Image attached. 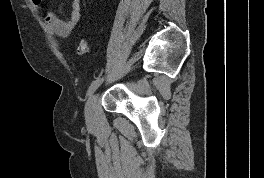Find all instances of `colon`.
I'll use <instances>...</instances> for the list:
<instances>
[{"mask_svg":"<svg viewBox=\"0 0 264 178\" xmlns=\"http://www.w3.org/2000/svg\"><path fill=\"white\" fill-rule=\"evenodd\" d=\"M35 4H41L42 0H33ZM89 50L88 42L85 39H81L77 45V53L80 56L87 54Z\"/></svg>","mask_w":264,"mask_h":178,"instance_id":"obj_1","label":"colon"}]
</instances>
